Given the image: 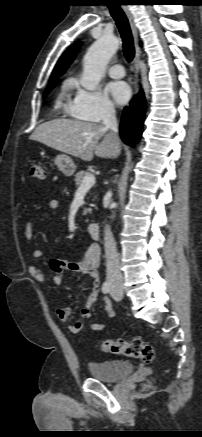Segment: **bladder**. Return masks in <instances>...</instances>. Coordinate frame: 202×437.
I'll return each instance as SVG.
<instances>
[{
  "mask_svg": "<svg viewBox=\"0 0 202 437\" xmlns=\"http://www.w3.org/2000/svg\"><path fill=\"white\" fill-rule=\"evenodd\" d=\"M88 368L93 378L104 382L124 380L134 371L133 363L127 360L90 362Z\"/></svg>",
  "mask_w": 202,
  "mask_h": 437,
  "instance_id": "31cf9c89",
  "label": "bladder"
}]
</instances>
